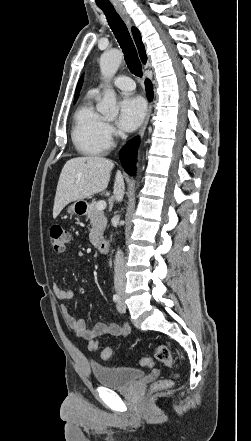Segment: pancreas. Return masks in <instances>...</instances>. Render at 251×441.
<instances>
[{
    "mask_svg": "<svg viewBox=\"0 0 251 441\" xmlns=\"http://www.w3.org/2000/svg\"><path fill=\"white\" fill-rule=\"evenodd\" d=\"M87 218L90 220L89 239L92 244H96L103 238V233L107 225V218L102 210L96 208V202L93 200L87 208Z\"/></svg>",
    "mask_w": 251,
    "mask_h": 441,
    "instance_id": "obj_1",
    "label": "pancreas"
}]
</instances>
